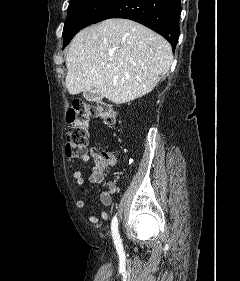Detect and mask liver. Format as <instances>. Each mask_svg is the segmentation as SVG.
<instances>
[{
    "label": "liver",
    "instance_id": "obj_1",
    "mask_svg": "<svg viewBox=\"0 0 240 281\" xmlns=\"http://www.w3.org/2000/svg\"><path fill=\"white\" fill-rule=\"evenodd\" d=\"M171 45L129 19H107L82 29L66 55L71 95L95 89L115 104L150 93L170 69Z\"/></svg>",
    "mask_w": 240,
    "mask_h": 281
}]
</instances>
